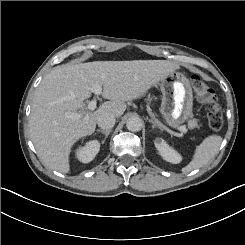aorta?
Returning <instances> with one entry per match:
<instances>
[{"label": "aorta", "mask_w": 245, "mask_h": 245, "mask_svg": "<svg viewBox=\"0 0 245 245\" xmlns=\"http://www.w3.org/2000/svg\"><path fill=\"white\" fill-rule=\"evenodd\" d=\"M143 123L138 116H132L127 119L126 127L129 131L138 132L142 129Z\"/></svg>", "instance_id": "obj_1"}]
</instances>
